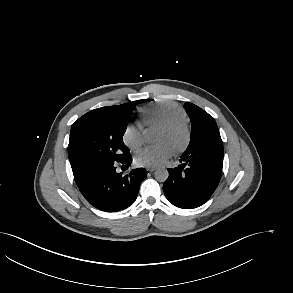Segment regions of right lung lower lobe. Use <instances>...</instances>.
Instances as JSON below:
<instances>
[{"label":"right lung lower lobe","mask_w":293,"mask_h":293,"mask_svg":"<svg viewBox=\"0 0 293 293\" xmlns=\"http://www.w3.org/2000/svg\"><path fill=\"white\" fill-rule=\"evenodd\" d=\"M131 155L120 162L129 167ZM116 163H109L88 174L77 184L80 192L94 207L116 212L129 207L137 198L140 184L146 178L143 168L133 169L128 175L116 172Z\"/></svg>","instance_id":"98d812e1"}]
</instances>
